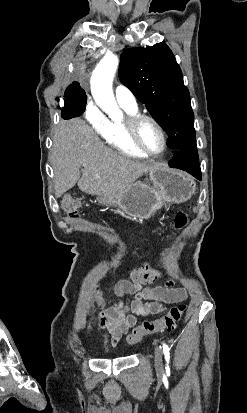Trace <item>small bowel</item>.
<instances>
[{
    "label": "small bowel",
    "mask_w": 247,
    "mask_h": 413,
    "mask_svg": "<svg viewBox=\"0 0 247 413\" xmlns=\"http://www.w3.org/2000/svg\"><path fill=\"white\" fill-rule=\"evenodd\" d=\"M173 282H167L164 287L155 289H138L137 282H117L113 291L118 300L107 307L99 287L95 288L94 301L98 307L97 319L91 322L87 331L107 329L109 344L115 346L123 335L137 323L138 316L159 314L166 310L167 305L184 301L187 292L183 288H175ZM129 296L128 300L124 298Z\"/></svg>",
    "instance_id": "small-bowel-1"
}]
</instances>
